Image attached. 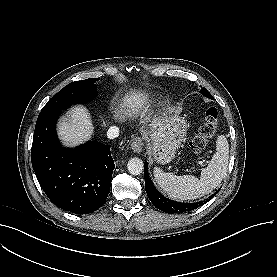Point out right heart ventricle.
I'll list each match as a JSON object with an SVG mask.
<instances>
[{"label":"right heart ventricle","mask_w":277,"mask_h":277,"mask_svg":"<svg viewBox=\"0 0 277 277\" xmlns=\"http://www.w3.org/2000/svg\"><path fill=\"white\" fill-rule=\"evenodd\" d=\"M123 107L125 110H132V111L134 110V108H133L134 106L131 103H127Z\"/></svg>","instance_id":"right-heart-ventricle-1"}]
</instances>
